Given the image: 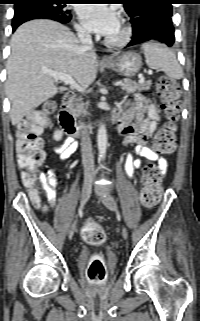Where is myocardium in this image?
<instances>
[{
  "instance_id": "myocardium-1",
  "label": "myocardium",
  "mask_w": 200,
  "mask_h": 321,
  "mask_svg": "<svg viewBox=\"0 0 200 321\" xmlns=\"http://www.w3.org/2000/svg\"><path fill=\"white\" fill-rule=\"evenodd\" d=\"M120 26H121L122 33H121V36L119 38H117V39H112V38H109V37L105 38L104 43L108 47L120 48V47H123L126 44H128L129 41L131 40V37H132V28H131V26L126 22L121 23Z\"/></svg>"
}]
</instances>
